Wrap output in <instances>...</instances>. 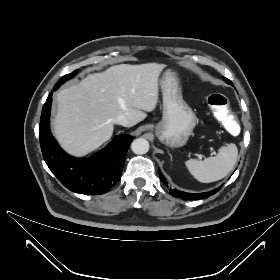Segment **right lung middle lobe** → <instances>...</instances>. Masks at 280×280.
I'll return each mask as SVG.
<instances>
[{"label": "right lung middle lobe", "mask_w": 280, "mask_h": 280, "mask_svg": "<svg viewBox=\"0 0 280 280\" xmlns=\"http://www.w3.org/2000/svg\"><path fill=\"white\" fill-rule=\"evenodd\" d=\"M77 73V70H75L74 72L64 75L63 77H61L59 79V81L55 84L54 89H57L61 84L65 83L67 80H69L70 78H72L75 74Z\"/></svg>", "instance_id": "obj_1"}]
</instances>
